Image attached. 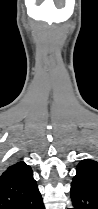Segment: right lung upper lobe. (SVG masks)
Listing matches in <instances>:
<instances>
[{
  "label": "right lung upper lobe",
  "instance_id": "cb5924a9",
  "mask_svg": "<svg viewBox=\"0 0 98 209\" xmlns=\"http://www.w3.org/2000/svg\"><path fill=\"white\" fill-rule=\"evenodd\" d=\"M33 171L24 162H17L0 175V209H11L37 189Z\"/></svg>",
  "mask_w": 98,
  "mask_h": 209
}]
</instances>
